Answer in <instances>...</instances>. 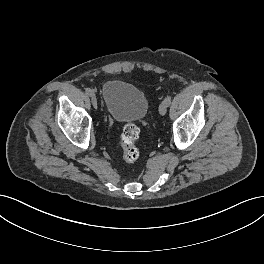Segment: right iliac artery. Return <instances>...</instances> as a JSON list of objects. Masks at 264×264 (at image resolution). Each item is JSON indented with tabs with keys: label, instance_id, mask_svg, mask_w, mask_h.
<instances>
[{
	"label": "right iliac artery",
	"instance_id": "1",
	"mask_svg": "<svg viewBox=\"0 0 264 264\" xmlns=\"http://www.w3.org/2000/svg\"><path fill=\"white\" fill-rule=\"evenodd\" d=\"M86 94L91 95L93 91L90 88L85 89Z\"/></svg>",
	"mask_w": 264,
	"mask_h": 264
}]
</instances>
